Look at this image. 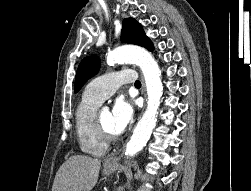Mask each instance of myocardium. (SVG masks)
<instances>
[{
	"label": "myocardium",
	"mask_w": 251,
	"mask_h": 191,
	"mask_svg": "<svg viewBox=\"0 0 251 191\" xmlns=\"http://www.w3.org/2000/svg\"><path fill=\"white\" fill-rule=\"evenodd\" d=\"M96 125L99 131L100 136L106 143H113L117 140V136L111 132H109L101 123L98 117L95 118Z\"/></svg>",
	"instance_id": "obj_1"
}]
</instances>
